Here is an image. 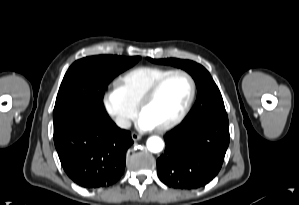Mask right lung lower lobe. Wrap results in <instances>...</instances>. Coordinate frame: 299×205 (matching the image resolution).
<instances>
[{
	"instance_id": "98d812e1",
	"label": "right lung lower lobe",
	"mask_w": 299,
	"mask_h": 205,
	"mask_svg": "<svg viewBox=\"0 0 299 205\" xmlns=\"http://www.w3.org/2000/svg\"><path fill=\"white\" fill-rule=\"evenodd\" d=\"M54 143L67 175L92 189L120 179L133 140L130 132L118 128L107 114L82 111L54 128Z\"/></svg>"
}]
</instances>
